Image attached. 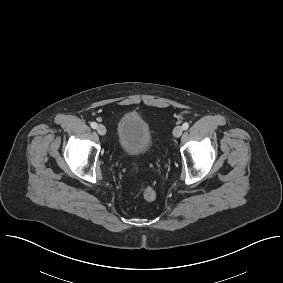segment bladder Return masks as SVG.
<instances>
[{
	"instance_id": "bladder-1",
	"label": "bladder",
	"mask_w": 283,
	"mask_h": 283,
	"mask_svg": "<svg viewBox=\"0 0 283 283\" xmlns=\"http://www.w3.org/2000/svg\"><path fill=\"white\" fill-rule=\"evenodd\" d=\"M119 151L129 157L146 152L152 145V132L147 121L137 113L124 114L117 124Z\"/></svg>"
}]
</instances>
